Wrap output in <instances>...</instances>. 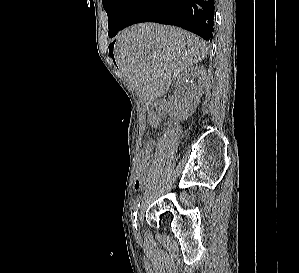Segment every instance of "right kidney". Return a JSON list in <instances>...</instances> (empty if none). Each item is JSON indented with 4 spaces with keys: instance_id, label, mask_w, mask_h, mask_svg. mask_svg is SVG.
Here are the masks:
<instances>
[{
    "instance_id": "obj_1",
    "label": "right kidney",
    "mask_w": 299,
    "mask_h": 273,
    "mask_svg": "<svg viewBox=\"0 0 299 273\" xmlns=\"http://www.w3.org/2000/svg\"><path fill=\"white\" fill-rule=\"evenodd\" d=\"M204 75L205 70L203 69V67H190L177 76L175 85L176 87H180L181 84L188 83L191 77L193 79L195 77L201 79V77H203ZM190 83L191 81L188 83V86L183 92L181 99H179L177 95L174 94L170 97V101L168 103L171 109L179 108L183 119H187L193 114L203 93V85L201 84V82Z\"/></svg>"
}]
</instances>
